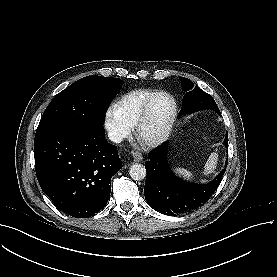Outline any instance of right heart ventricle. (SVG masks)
I'll list each match as a JSON object with an SVG mask.
<instances>
[{
    "mask_svg": "<svg viewBox=\"0 0 277 277\" xmlns=\"http://www.w3.org/2000/svg\"><path fill=\"white\" fill-rule=\"evenodd\" d=\"M152 93L151 90L147 89L131 91L116 103L117 110L130 126L136 124L146 101Z\"/></svg>",
    "mask_w": 277,
    "mask_h": 277,
    "instance_id": "1",
    "label": "right heart ventricle"
}]
</instances>
